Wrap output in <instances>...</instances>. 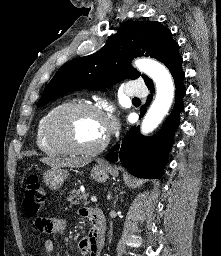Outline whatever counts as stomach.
I'll return each mask as SVG.
<instances>
[{
	"label": "stomach",
	"instance_id": "0dacf381",
	"mask_svg": "<svg viewBox=\"0 0 221 256\" xmlns=\"http://www.w3.org/2000/svg\"><path fill=\"white\" fill-rule=\"evenodd\" d=\"M117 173V170L107 165H96L91 170V177L98 182H105L110 174ZM68 177V171L61 168H52L44 173L43 182L52 190L61 187Z\"/></svg>",
	"mask_w": 221,
	"mask_h": 256
}]
</instances>
